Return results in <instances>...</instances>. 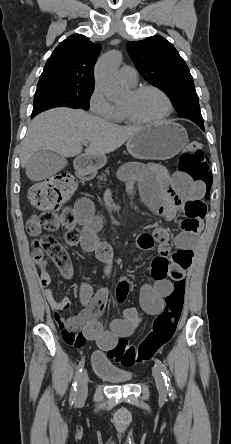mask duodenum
Instances as JSON below:
<instances>
[{"instance_id":"1","label":"duodenum","mask_w":231,"mask_h":444,"mask_svg":"<svg viewBox=\"0 0 231 444\" xmlns=\"http://www.w3.org/2000/svg\"><path fill=\"white\" fill-rule=\"evenodd\" d=\"M83 174H89V172H84Z\"/></svg>"}]
</instances>
